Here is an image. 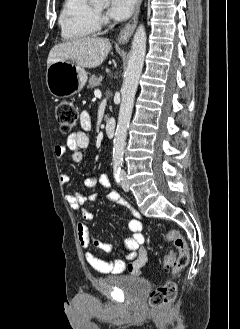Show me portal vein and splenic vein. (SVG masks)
<instances>
[{"mask_svg": "<svg viewBox=\"0 0 240 329\" xmlns=\"http://www.w3.org/2000/svg\"><path fill=\"white\" fill-rule=\"evenodd\" d=\"M94 94H95L96 96H99V95H101V91L97 89V90L94 91Z\"/></svg>", "mask_w": 240, "mask_h": 329, "instance_id": "18ae733b", "label": "portal vein and splenic vein"}]
</instances>
